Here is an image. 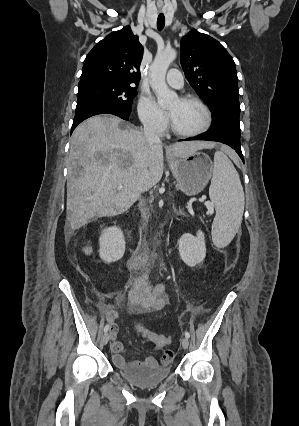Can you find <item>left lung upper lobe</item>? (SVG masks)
I'll list each match as a JSON object with an SVG mask.
<instances>
[{
    "label": "left lung upper lobe",
    "mask_w": 299,
    "mask_h": 426,
    "mask_svg": "<svg viewBox=\"0 0 299 426\" xmlns=\"http://www.w3.org/2000/svg\"><path fill=\"white\" fill-rule=\"evenodd\" d=\"M185 77L212 110L210 132L240 137V104L235 63L215 39L193 29L180 42Z\"/></svg>",
    "instance_id": "1"
}]
</instances>
